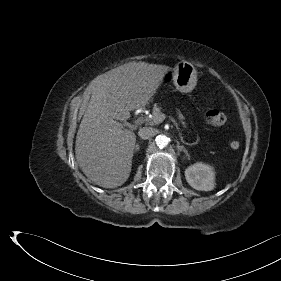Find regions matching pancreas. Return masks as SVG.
Wrapping results in <instances>:
<instances>
[{
  "mask_svg": "<svg viewBox=\"0 0 281 281\" xmlns=\"http://www.w3.org/2000/svg\"><path fill=\"white\" fill-rule=\"evenodd\" d=\"M152 118H146V122H148L149 124H158L160 122L156 121L157 118H159L161 115H162V112H161V107H159L158 105H154L153 107V112H152ZM179 119L180 120H183L184 117L182 114H179ZM182 123L184 124V122L182 121Z\"/></svg>",
  "mask_w": 281,
  "mask_h": 281,
  "instance_id": "obj_1",
  "label": "pancreas"
}]
</instances>
